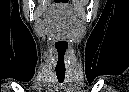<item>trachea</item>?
Returning <instances> with one entry per match:
<instances>
[{"label": "trachea", "instance_id": "3493384b", "mask_svg": "<svg viewBox=\"0 0 129 92\" xmlns=\"http://www.w3.org/2000/svg\"><path fill=\"white\" fill-rule=\"evenodd\" d=\"M56 76L59 83H63L65 79V71H56Z\"/></svg>", "mask_w": 129, "mask_h": 92}]
</instances>
